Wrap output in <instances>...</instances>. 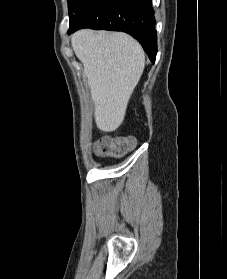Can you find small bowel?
I'll return each mask as SVG.
<instances>
[{
  "instance_id": "c3829d8e",
  "label": "small bowel",
  "mask_w": 227,
  "mask_h": 279,
  "mask_svg": "<svg viewBox=\"0 0 227 279\" xmlns=\"http://www.w3.org/2000/svg\"><path fill=\"white\" fill-rule=\"evenodd\" d=\"M127 137H118L117 140L118 141H122V140H126ZM106 141H109V139H105Z\"/></svg>"
}]
</instances>
